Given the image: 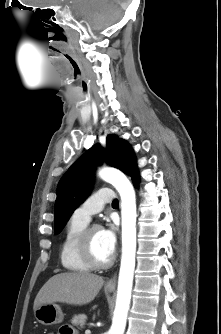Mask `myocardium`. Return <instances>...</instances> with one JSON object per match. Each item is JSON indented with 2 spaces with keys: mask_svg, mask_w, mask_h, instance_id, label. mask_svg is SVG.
Here are the masks:
<instances>
[{
  "mask_svg": "<svg viewBox=\"0 0 221 334\" xmlns=\"http://www.w3.org/2000/svg\"><path fill=\"white\" fill-rule=\"evenodd\" d=\"M96 229H101L98 224L88 225L81 233L78 248L83 260L94 269H106L109 268L115 261L116 254L112 253L110 258L106 261H100L97 259L92 248V233Z\"/></svg>",
  "mask_w": 221,
  "mask_h": 334,
  "instance_id": "1",
  "label": "myocardium"
}]
</instances>
